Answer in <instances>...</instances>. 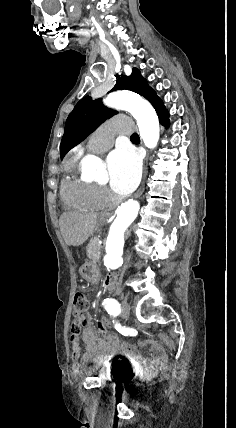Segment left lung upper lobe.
<instances>
[{
  "label": "left lung upper lobe",
  "mask_w": 236,
  "mask_h": 428,
  "mask_svg": "<svg viewBox=\"0 0 236 428\" xmlns=\"http://www.w3.org/2000/svg\"><path fill=\"white\" fill-rule=\"evenodd\" d=\"M119 89L131 90L144 96L155 110L164 106L137 68H133L130 76H121L111 91ZM115 114H117L116 111L103 106L101 99L92 100L89 96L81 99L66 120L65 132L60 144L61 159L101 123Z\"/></svg>",
  "instance_id": "obj_1"
}]
</instances>
